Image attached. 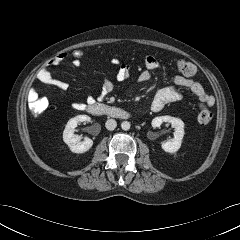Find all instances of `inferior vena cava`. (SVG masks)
Instances as JSON below:
<instances>
[{
    "label": "inferior vena cava",
    "mask_w": 240,
    "mask_h": 240,
    "mask_svg": "<svg viewBox=\"0 0 240 240\" xmlns=\"http://www.w3.org/2000/svg\"><path fill=\"white\" fill-rule=\"evenodd\" d=\"M105 126L108 130L112 131L116 128L117 122L114 119H108L105 123Z\"/></svg>",
    "instance_id": "1"
}]
</instances>
